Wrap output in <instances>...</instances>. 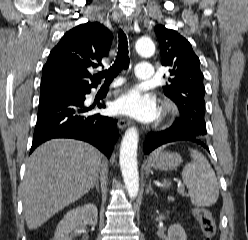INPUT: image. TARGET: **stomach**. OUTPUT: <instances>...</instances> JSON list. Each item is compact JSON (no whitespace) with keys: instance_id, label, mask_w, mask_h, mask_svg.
Here are the masks:
<instances>
[{"instance_id":"stomach-1","label":"stomach","mask_w":248,"mask_h":240,"mask_svg":"<svg viewBox=\"0 0 248 240\" xmlns=\"http://www.w3.org/2000/svg\"><path fill=\"white\" fill-rule=\"evenodd\" d=\"M182 162L178 153L157 151L149 157V163L155 169L171 170L177 168Z\"/></svg>"}]
</instances>
